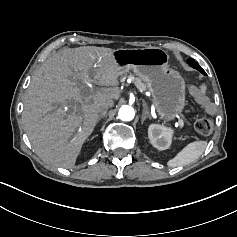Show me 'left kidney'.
Here are the masks:
<instances>
[{
  "mask_svg": "<svg viewBox=\"0 0 237 237\" xmlns=\"http://www.w3.org/2000/svg\"><path fill=\"white\" fill-rule=\"evenodd\" d=\"M174 130L159 124H151L148 128L150 143L156 149L162 151L171 146Z\"/></svg>",
  "mask_w": 237,
  "mask_h": 237,
  "instance_id": "1",
  "label": "left kidney"
}]
</instances>
